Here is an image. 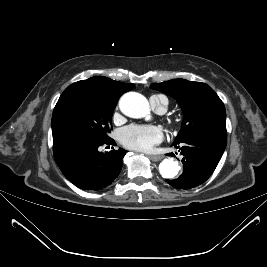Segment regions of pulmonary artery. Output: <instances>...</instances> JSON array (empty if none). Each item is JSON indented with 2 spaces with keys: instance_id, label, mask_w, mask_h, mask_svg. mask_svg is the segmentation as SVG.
Masks as SVG:
<instances>
[{
  "instance_id": "1",
  "label": "pulmonary artery",
  "mask_w": 267,
  "mask_h": 267,
  "mask_svg": "<svg viewBox=\"0 0 267 267\" xmlns=\"http://www.w3.org/2000/svg\"><path fill=\"white\" fill-rule=\"evenodd\" d=\"M150 103L157 113L162 114L166 110L167 98L165 96L151 97Z\"/></svg>"
}]
</instances>
